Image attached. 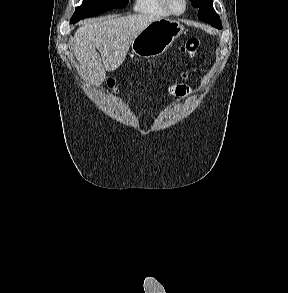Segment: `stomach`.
Returning a JSON list of instances; mask_svg holds the SVG:
<instances>
[{"label":"stomach","instance_id":"1","mask_svg":"<svg viewBox=\"0 0 288 293\" xmlns=\"http://www.w3.org/2000/svg\"><path fill=\"white\" fill-rule=\"evenodd\" d=\"M183 29V25L169 18L155 20L133 39L132 53L142 58L159 56L182 34Z\"/></svg>","mask_w":288,"mask_h":293}]
</instances>
